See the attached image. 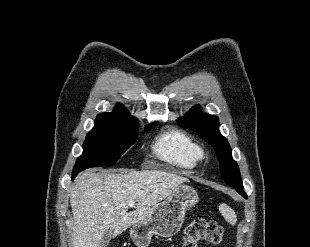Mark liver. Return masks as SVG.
Listing matches in <instances>:
<instances>
[{
	"mask_svg": "<svg viewBox=\"0 0 310 247\" xmlns=\"http://www.w3.org/2000/svg\"><path fill=\"white\" fill-rule=\"evenodd\" d=\"M188 179L164 170L119 174L87 170L70 191L74 217L72 247H100L107 230L117 236L144 220L155 206ZM133 200L135 209L128 211Z\"/></svg>",
	"mask_w": 310,
	"mask_h": 247,
	"instance_id": "obj_1",
	"label": "liver"
}]
</instances>
